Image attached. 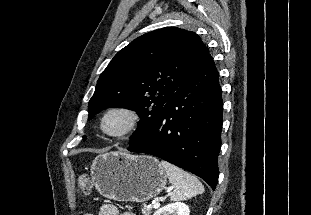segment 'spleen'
Segmentation results:
<instances>
[{
  "instance_id": "1",
  "label": "spleen",
  "mask_w": 311,
  "mask_h": 215,
  "mask_svg": "<svg viewBox=\"0 0 311 215\" xmlns=\"http://www.w3.org/2000/svg\"><path fill=\"white\" fill-rule=\"evenodd\" d=\"M160 166L174 188L170 193L172 201H183L204 192L202 183L189 172L166 161H161Z\"/></svg>"
}]
</instances>
